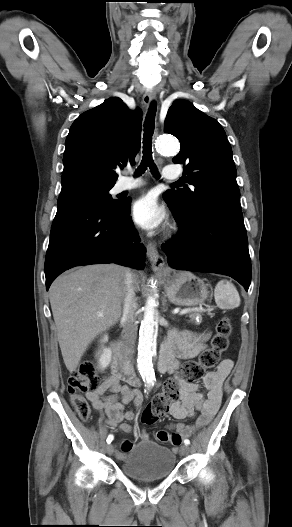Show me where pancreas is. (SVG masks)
<instances>
[{"label": "pancreas", "instance_id": "obj_1", "mask_svg": "<svg viewBox=\"0 0 292 527\" xmlns=\"http://www.w3.org/2000/svg\"><path fill=\"white\" fill-rule=\"evenodd\" d=\"M190 321L199 325L202 321L201 315L198 312H193L189 314Z\"/></svg>", "mask_w": 292, "mask_h": 527}]
</instances>
